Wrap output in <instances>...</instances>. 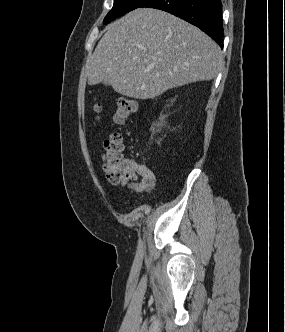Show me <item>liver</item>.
<instances>
[{
	"instance_id": "obj_1",
	"label": "liver",
	"mask_w": 285,
	"mask_h": 332,
	"mask_svg": "<svg viewBox=\"0 0 285 332\" xmlns=\"http://www.w3.org/2000/svg\"><path fill=\"white\" fill-rule=\"evenodd\" d=\"M220 47L167 12L135 9L106 27L86 62L89 85L106 81L117 93L151 99L168 89L215 78Z\"/></svg>"
}]
</instances>
